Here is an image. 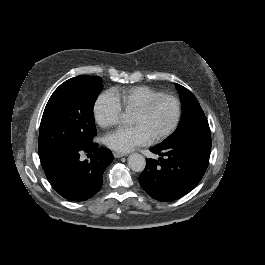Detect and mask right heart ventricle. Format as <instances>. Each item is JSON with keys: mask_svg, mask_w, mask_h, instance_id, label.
Returning <instances> with one entry per match:
<instances>
[{"mask_svg": "<svg viewBox=\"0 0 265 265\" xmlns=\"http://www.w3.org/2000/svg\"><path fill=\"white\" fill-rule=\"evenodd\" d=\"M159 93L158 90L146 85L115 88L111 91L124 111H136L148 98Z\"/></svg>", "mask_w": 265, "mask_h": 265, "instance_id": "right-heart-ventricle-1", "label": "right heart ventricle"}]
</instances>
